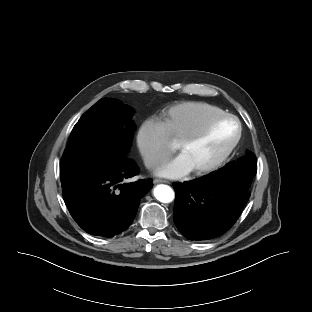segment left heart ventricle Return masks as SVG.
Instances as JSON below:
<instances>
[{"label": "left heart ventricle", "mask_w": 312, "mask_h": 312, "mask_svg": "<svg viewBox=\"0 0 312 312\" xmlns=\"http://www.w3.org/2000/svg\"><path fill=\"white\" fill-rule=\"evenodd\" d=\"M237 134V124L230 119L214 124L198 141L180 152L192 169L206 166L217 159L231 144Z\"/></svg>", "instance_id": "b2bd125f"}]
</instances>
